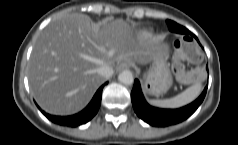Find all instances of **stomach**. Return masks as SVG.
I'll return each instance as SVG.
<instances>
[{
  "instance_id": "0dacf381",
  "label": "stomach",
  "mask_w": 238,
  "mask_h": 145,
  "mask_svg": "<svg viewBox=\"0 0 238 145\" xmlns=\"http://www.w3.org/2000/svg\"><path fill=\"white\" fill-rule=\"evenodd\" d=\"M160 56L152 61L147 72L144 73V91L149 95L159 96L169 90L172 85V75L167 63L168 49L161 44Z\"/></svg>"
}]
</instances>
